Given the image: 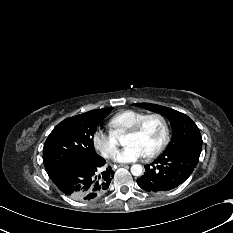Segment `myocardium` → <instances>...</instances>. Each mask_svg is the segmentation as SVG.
<instances>
[{
	"label": "myocardium",
	"instance_id": "obj_1",
	"mask_svg": "<svg viewBox=\"0 0 233 233\" xmlns=\"http://www.w3.org/2000/svg\"><path fill=\"white\" fill-rule=\"evenodd\" d=\"M153 118H156L161 122L162 127H163V137L161 141L159 142V144L151 152L146 154L148 158H152L158 155L165 148V146L167 145L169 141L170 128H169V124H168L166 117L160 113L147 114L142 119H140L136 124H134L132 127H130L127 130V133L129 134H137L142 130L145 123L148 120L153 119Z\"/></svg>",
	"mask_w": 233,
	"mask_h": 233
}]
</instances>
